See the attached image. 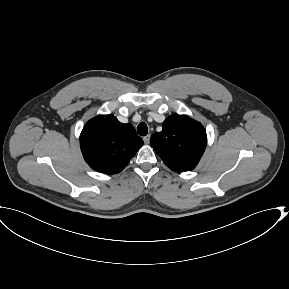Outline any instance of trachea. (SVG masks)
I'll use <instances>...</instances> for the list:
<instances>
[{
    "mask_svg": "<svg viewBox=\"0 0 289 289\" xmlns=\"http://www.w3.org/2000/svg\"><path fill=\"white\" fill-rule=\"evenodd\" d=\"M137 132L140 136H146L148 133V128L147 125L144 122H141L138 126H137Z\"/></svg>",
    "mask_w": 289,
    "mask_h": 289,
    "instance_id": "obj_1",
    "label": "trachea"
}]
</instances>
